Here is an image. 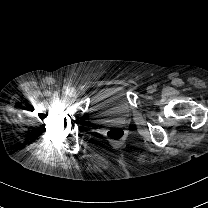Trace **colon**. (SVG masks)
Instances as JSON below:
<instances>
[{
	"label": "colon",
	"instance_id": "1",
	"mask_svg": "<svg viewBox=\"0 0 208 208\" xmlns=\"http://www.w3.org/2000/svg\"><path fill=\"white\" fill-rule=\"evenodd\" d=\"M106 136L108 139L117 142L123 138L124 130L121 128H112L107 132Z\"/></svg>",
	"mask_w": 208,
	"mask_h": 208
}]
</instances>
